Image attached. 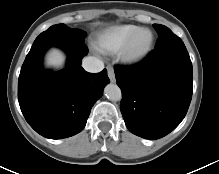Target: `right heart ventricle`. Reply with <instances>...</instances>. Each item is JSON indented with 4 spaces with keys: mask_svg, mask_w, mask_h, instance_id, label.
<instances>
[{
    "mask_svg": "<svg viewBox=\"0 0 219 174\" xmlns=\"http://www.w3.org/2000/svg\"><path fill=\"white\" fill-rule=\"evenodd\" d=\"M139 27L133 24L111 26L103 30L95 40V46L103 53H116Z\"/></svg>",
    "mask_w": 219,
    "mask_h": 174,
    "instance_id": "e07e8e85",
    "label": "right heart ventricle"
}]
</instances>
